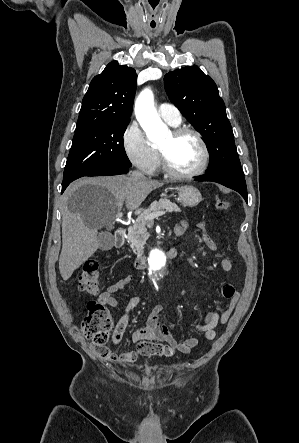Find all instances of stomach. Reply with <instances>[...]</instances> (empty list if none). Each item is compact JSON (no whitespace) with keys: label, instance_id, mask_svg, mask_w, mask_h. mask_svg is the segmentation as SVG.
<instances>
[{"label":"stomach","instance_id":"obj_1","mask_svg":"<svg viewBox=\"0 0 299 443\" xmlns=\"http://www.w3.org/2000/svg\"><path fill=\"white\" fill-rule=\"evenodd\" d=\"M179 200L183 206L194 207L198 205L202 196L199 190L193 186H183L178 189Z\"/></svg>","mask_w":299,"mask_h":443}]
</instances>
